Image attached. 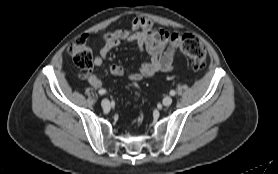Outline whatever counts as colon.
Returning <instances> with one entry per match:
<instances>
[{
  "mask_svg": "<svg viewBox=\"0 0 278 174\" xmlns=\"http://www.w3.org/2000/svg\"><path fill=\"white\" fill-rule=\"evenodd\" d=\"M156 42L167 43L189 57L194 69L199 70L206 63V49L204 45L190 34H181L168 32L165 30H156L153 33ZM68 53L73 59L74 64L83 70H88L92 66V51L87 44L85 36L77 37L68 49Z\"/></svg>",
  "mask_w": 278,
  "mask_h": 174,
  "instance_id": "colon-1",
  "label": "colon"
}]
</instances>
